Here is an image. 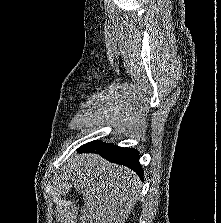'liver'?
Returning <instances> with one entry per match:
<instances>
[{
    "instance_id": "obj_1",
    "label": "liver",
    "mask_w": 221,
    "mask_h": 223,
    "mask_svg": "<svg viewBox=\"0 0 221 223\" xmlns=\"http://www.w3.org/2000/svg\"><path fill=\"white\" fill-rule=\"evenodd\" d=\"M68 166L74 187L83 195L80 223H124L139 199L137 175L95 154L76 155Z\"/></svg>"
}]
</instances>
